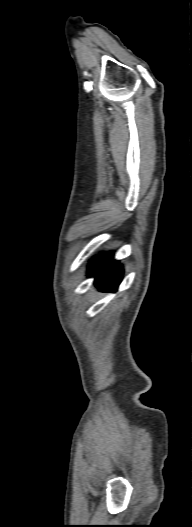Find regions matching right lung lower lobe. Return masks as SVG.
I'll list each match as a JSON object with an SVG mask.
<instances>
[{"label": "right lung lower lobe", "instance_id": "right-lung-lower-lobe-1", "mask_svg": "<svg viewBox=\"0 0 192 527\" xmlns=\"http://www.w3.org/2000/svg\"><path fill=\"white\" fill-rule=\"evenodd\" d=\"M122 268L112 254L104 253L90 262L89 276L95 277L96 286L104 291H116L122 279Z\"/></svg>", "mask_w": 192, "mask_h": 527}]
</instances>
